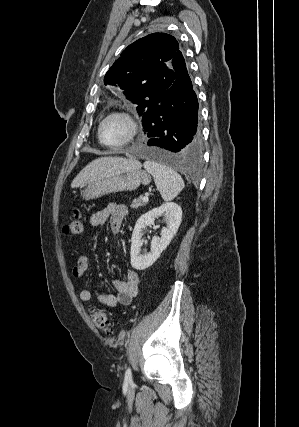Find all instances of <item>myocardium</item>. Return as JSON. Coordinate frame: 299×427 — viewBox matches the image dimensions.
I'll return each mask as SVG.
<instances>
[{
	"label": "myocardium",
	"instance_id": "f54148a6",
	"mask_svg": "<svg viewBox=\"0 0 299 427\" xmlns=\"http://www.w3.org/2000/svg\"><path fill=\"white\" fill-rule=\"evenodd\" d=\"M114 116H119L122 117L126 120V122L129 125V133L128 136L126 137L125 140H123L122 142L118 143V144H107L105 142H103V140L101 139V128L104 124V122ZM139 132V123L136 119V117L130 113L127 110H114L109 112L108 114H106L99 122L98 127H97V138L99 143L107 148H112V149H116V148H120L123 147L125 145H128L129 143H131L135 137L137 136Z\"/></svg>",
	"mask_w": 299,
	"mask_h": 427
}]
</instances>
